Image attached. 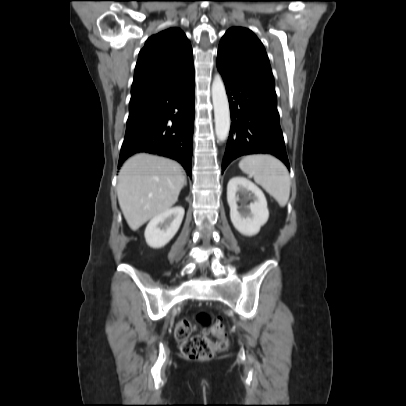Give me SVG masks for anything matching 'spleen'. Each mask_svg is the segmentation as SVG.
<instances>
[{
  "label": "spleen",
  "instance_id": "1",
  "mask_svg": "<svg viewBox=\"0 0 406 406\" xmlns=\"http://www.w3.org/2000/svg\"><path fill=\"white\" fill-rule=\"evenodd\" d=\"M240 169L253 176L255 182L269 193L281 207L290 195V178L285 165L271 155H248L239 162Z\"/></svg>",
  "mask_w": 406,
  "mask_h": 406
}]
</instances>
